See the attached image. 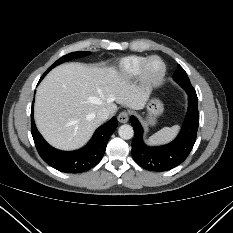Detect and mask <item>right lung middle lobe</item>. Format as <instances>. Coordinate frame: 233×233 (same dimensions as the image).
Segmentation results:
<instances>
[{
    "label": "right lung middle lobe",
    "mask_w": 233,
    "mask_h": 233,
    "mask_svg": "<svg viewBox=\"0 0 233 233\" xmlns=\"http://www.w3.org/2000/svg\"><path fill=\"white\" fill-rule=\"evenodd\" d=\"M88 54H89V52H72L70 54H67V55L61 57L60 59H58L53 65H51V67H49L47 69V71L44 73L43 76H45L52 68L61 64L64 61H68V60H71L73 58L83 57V56H86Z\"/></svg>",
    "instance_id": "dd1d6c3e"
}]
</instances>
